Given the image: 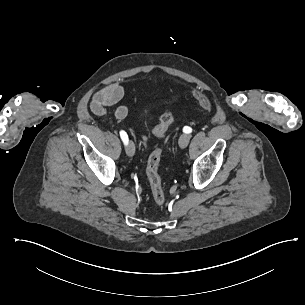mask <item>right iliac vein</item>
<instances>
[{
	"label": "right iliac vein",
	"instance_id": "1",
	"mask_svg": "<svg viewBox=\"0 0 305 305\" xmlns=\"http://www.w3.org/2000/svg\"><path fill=\"white\" fill-rule=\"evenodd\" d=\"M126 152L129 157H133L135 155V145L132 141H130L126 146Z\"/></svg>",
	"mask_w": 305,
	"mask_h": 305
}]
</instances>
